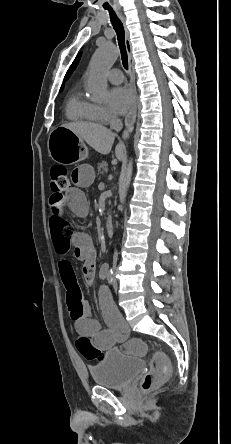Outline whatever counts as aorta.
<instances>
[{
    "label": "aorta",
    "mask_w": 231,
    "mask_h": 444,
    "mask_svg": "<svg viewBox=\"0 0 231 444\" xmlns=\"http://www.w3.org/2000/svg\"><path fill=\"white\" fill-rule=\"evenodd\" d=\"M117 59V50L112 43H105L94 53L87 77V90L94 101L102 102L107 98V80L105 71L110 68ZM133 171V162L129 161L121 175L122 198L130 187Z\"/></svg>",
    "instance_id": "1"
}]
</instances>
